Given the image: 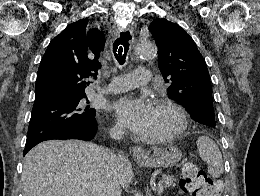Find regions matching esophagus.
Listing matches in <instances>:
<instances>
[{"label": "esophagus", "mask_w": 260, "mask_h": 196, "mask_svg": "<svg viewBox=\"0 0 260 196\" xmlns=\"http://www.w3.org/2000/svg\"><path fill=\"white\" fill-rule=\"evenodd\" d=\"M120 32H128L127 28L119 29L118 33ZM130 34V39L129 41L132 43L134 41V34L133 32H129ZM133 156L135 159L140 160V159H146L148 157L147 153L141 146H135L132 150Z\"/></svg>", "instance_id": "obj_1"}]
</instances>
